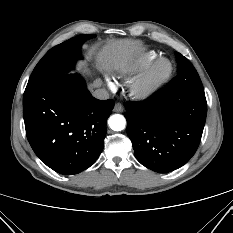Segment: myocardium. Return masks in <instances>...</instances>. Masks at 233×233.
Here are the masks:
<instances>
[{
    "instance_id": "f54148a6",
    "label": "myocardium",
    "mask_w": 233,
    "mask_h": 233,
    "mask_svg": "<svg viewBox=\"0 0 233 233\" xmlns=\"http://www.w3.org/2000/svg\"><path fill=\"white\" fill-rule=\"evenodd\" d=\"M173 66L169 59L159 58L150 72L133 82L131 94L137 99H145L154 94L172 75Z\"/></svg>"
}]
</instances>
